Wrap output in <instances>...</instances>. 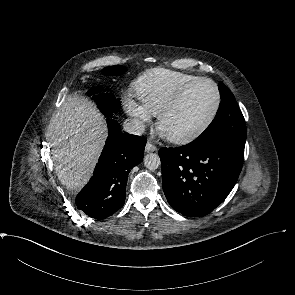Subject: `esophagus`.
Returning <instances> with one entry per match:
<instances>
[{
  "mask_svg": "<svg viewBox=\"0 0 295 295\" xmlns=\"http://www.w3.org/2000/svg\"><path fill=\"white\" fill-rule=\"evenodd\" d=\"M157 150V147L153 144H151L150 142H148L145 146V152L149 153V152H154Z\"/></svg>",
  "mask_w": 295,
  "mask_h": 295,
  "instance_id": "1",
  "label": "esophagus"
}]
</instances>
